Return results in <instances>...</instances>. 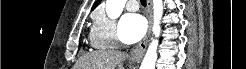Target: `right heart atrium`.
Listing matches in <instances>:
<instances>
[{"mask_svg":"<svg viewBox=\"0 0 246 69\" xmlns=\"http://www.w3.org/2000/svg\"><path fill=\"white\" fill-rule=\"evenodd\" d=\"M92 41L96 48H108L118 43L116 22L99 10L94 17Z\"/></svg>","mask_w":246,"mask_h":69,"instance_id":"1","label":"right heart atrium"}]
</instances>
